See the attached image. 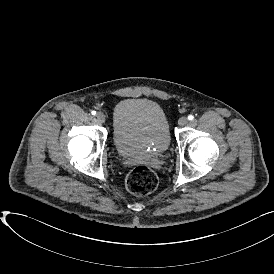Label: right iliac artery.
Wrapping results in <instances>:
<instances>
[{"label":"right iliac artery","instance_id":"obj_1","mask_svg":"<svg viewBox=\"0 0 274 274\" xmlns=\"http://www.w3.org/2000/svg\"><path fill=\"white\" fill-rule=\"evenodd\" d=\"M91 114H92V115H96V111H92Z\"/></svg>","mask_w":274,"mask_h":274}]
</instances>
